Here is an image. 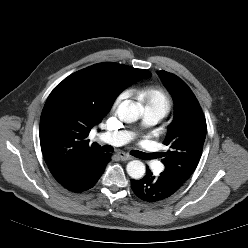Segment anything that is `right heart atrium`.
I'll use <instances>...</instances> for the list:
<instances>
[{"label": "right heart atrium", "mask_w": 248, "mask_h": 248, "mask_svg": "<svg viewBox=\"0 0 248 248\" xmlns=\"http://www.w3.org/2000/svg\"><path fill=\"white\" fill-rule=\"evenodd\" d=\"M125 98V92H121L114 101V106H117Z\"/></svg>", "instance_id": "1"}]
</instances>
